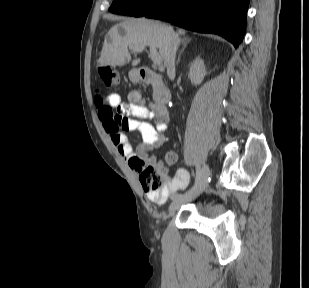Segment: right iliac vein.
Masks as SVG:
<instances>
[{
    "label": "right iliac vein",
    "mask_w": 309,
    "mask_h": 288,
    "mask_svg": "<svg viewBox=\"0 0 309 288\" xmlns=\"http://www.w3.org/2000/svg\"><path fill=\"white\" fill-rule=\"evenodd\" d=\"M200 173L198 174V180L199 183L195 184V187L192 191L185 193V194H179L178 199H173L172 198V204L170 206V212L176 210L182 203L186 202L188 199L197 196L200 194V192L203 190L206 184V180L209 175V167L204 164L200 169Z\"/></svg>",
    "instance_id": "obj_1"
}]
</instances>
